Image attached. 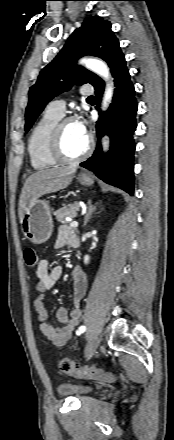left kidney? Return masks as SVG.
Returning <instances> with one entry per match:
<instances>
[{
  "mask_svg": "<svg viewBox=\"0 0 174 440\" xmlns=\"http://www.w3.org/2000/svg\"><path fill=\"white\" fill-rule=\"evenodd\" d=\"M89 260H90V257H89L88 255H86V256L84 257V262H85V264L89 263Z\"/></svg>",
  "mask_w": 174,
  "mask_h": 440,
  "instance_id": "5707ae66",
  "label": "left kidney"
}]
</instances>
